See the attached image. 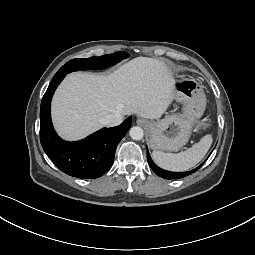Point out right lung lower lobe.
I'll return each instance as SVG.
<instances>
[{"label": "right lung lower lobe", "mask_w": 255, "mask_h": 255, "mask_svg": "<svg viewBox=\"0 0 255 255\" xmlns=\"http://www.w3.org/2000/svg\"><path fill=\"white\" fill-rule=\"evenodd\" d=\"M66 73L55 75L41 102L40 141L50 160L64 173L82 179L105 174L113 164L115 151L129 130L132 117L112 128H104L77 142H65L55 133L50 116V103L55 89Z\"/></svg>", "instance_id": "98d812e1"}]
</instances>
